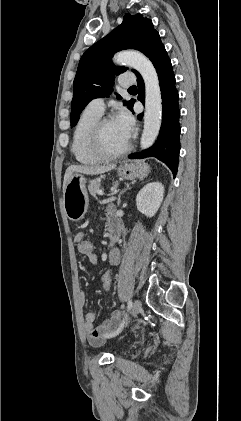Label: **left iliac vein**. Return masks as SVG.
<instances>
[{
	"instance_id": "obj_1",
	"label": "left iliac vein",
	"mask_w": 241,
	"mask_h": 421,
	"mask_svg": "<svg viewBox=\"0 0 241 421\" xmlns=\"http://www.w3.org/2000/svg\"><path fill=\"white\" fill-rule=\"evenodd\" d=\"M142 309V303L140 300H135L132 306V314L138 315Z\"/></svg>"
}]
</instances>
